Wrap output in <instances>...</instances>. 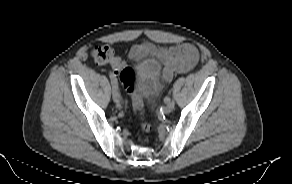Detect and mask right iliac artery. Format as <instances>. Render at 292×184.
<instances>
[{
    "label": "right iliac artery",
    "mask_w": 292,
    "mask_h": 184,
    "mask_svg": "<svg viewBox=\"0 0 292 184\" xmlns=\"http://www.w3.org/2000/svg\"><path fill=\"white\" fill-rule=\"evenodd\" d=\"M110 79H111V83L113 85V88L118 89V84H117V79L115 78V76L113 75V73L110 72ZM121 92L117 91V94L119 95Z\"/></svg>",
    "instance_id": "82829eb1"
}]
</instances>
